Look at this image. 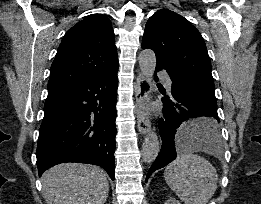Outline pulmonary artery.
<instances>
[{
  "instance_id": "obj_1",
  "label": "pulmonary artery",
  "mask_w": 261,
  "mask_h": 204,
  "mask_svg": "<svg viewBox=\"0 0 261 204\" xmlns=\"http://www.w3.org/2000/svg\"><path fill=\"white\" fill-rule=\"evenodd\" d=\"M159 77L163 80V82L165 83L167 88L170 89L171 88V78L169 77V75L166 73L160 72Z\"/></svg>"
}]
</instances>
